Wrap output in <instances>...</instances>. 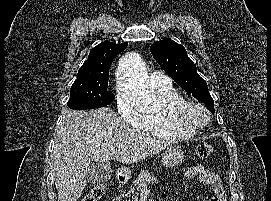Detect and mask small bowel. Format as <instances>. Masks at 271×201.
Here are the masks:
<instances>
[{"mask_svg": "<svg viewBox=\"0 0 271 201\" xmlns=\"http://www.w3.org/2000/svg\"><path fill=\"white\" fill-rule=\"evenodd\" d=\"M185 175L188 179L199 178L203 184L212 188L214 194L209 201H227L226 191L216 172L203 165H197L189 168Z\"/></svg>", "mask_w": 271, "mask_h": 201, "instance_id": "c3829d8e", "label": "small bowel"}]
</instances>
